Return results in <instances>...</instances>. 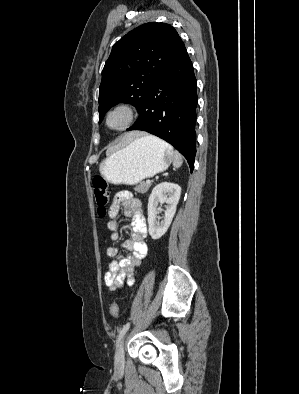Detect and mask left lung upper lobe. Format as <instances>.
<instances>
[{
    "label": "left lung upper lobe",
    "mask_w": 299,
    "mask_h": 394,
    "mask_svg": "<svg viewBox=\"0 0 299 394\" xmlns=\"http://www.w3.org/2000/svg\"><path fill=\"white\" fill-rule=\"evenodd\" d=\"M184 49L177 31L157 22L143 24L117 41L102 71L99 123L121 101L139 110L154 81Z\"/></svg>",
    "instance_id": "left-lung-upper-lobe-1"
}]
</instances>
